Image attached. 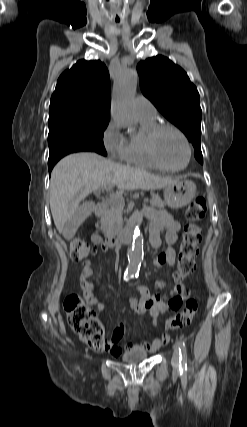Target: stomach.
Instances as JSON below:
<instances>
[{
  "label": "stomach",
  "instance_id": "0dacf381",
  "mask_svg": "<svg viewBox=\"0 0 247 427\" xmlns=\"http://www.w3.org/2000/svg\"><path fill=\"white\" fill-rule=\"evenodd\" d=\"M195 196V183L186 179H177L164 191L165 204L174 209L188 205Z\"/></svg>",
  "mask_w": 247,
  "mask_h": 427
}]
</instances>
